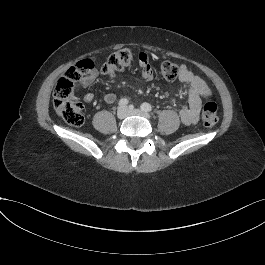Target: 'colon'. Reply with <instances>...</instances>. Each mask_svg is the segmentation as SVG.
I'll return each mask as SVG.
<instances>
[{"label":"colon","instance_id":"1","mask_svg":"<svg viewBox=\"0 0 265 265\" xmlns=\"http://www.w3.org/2000/svg\"><path fill=\"white\" fill-rule=\"evenodd\" d=\"M134 57V52L129 48L117 50L103 64L102 73L113 75L122 71L132 64ZM94 68V59L81 60L70 67L57 82L54 91V108L59 116L71 126L79 127L84 123V107L75 96V87ZM160 73L165 80L173 81L179 76L180 67L166 61L160 65ZM202 121L206 127H213L218 121L217 104L210 97L204 102Z\"/></svg>","mask_w":265,"mask_h":265}]
</instances>
